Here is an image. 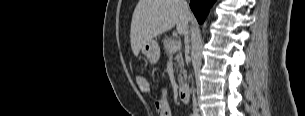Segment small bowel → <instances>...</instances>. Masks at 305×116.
I'll return each instance as SVG.
<instances>
[{"label": "small bowel", "mask_w": 305, "mask_h": 116, "mask_svg": "<svg viewBox=\"0 0 305 116\" xmlns=\"http://www.w3.org/2000/svg\"><path fill=\"white\" fill-rule=\"evenodd\" d=\"M155 108L158 116H172L170 106L166 100L165 91L163 88L159 89L158 96L155 100Z\"/></svg>", "instance_id": "c3829d8e"}]
</instances>
